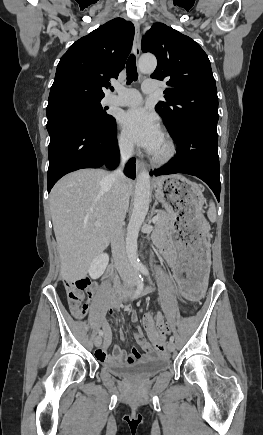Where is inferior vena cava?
<instances>
[{"mask_svg":"<svg viewBox=\"0 0 263 435\" xmlns=\"http://www.w3.org/2000/svg\"><path fill=\"white\" fill-rule=\"evenodd\" d=\"M133 149V144H128L121 150L119 168L107 177V179L112 183L113 206L110 225L111 249L115 266L121 276L131 275L133 273L132 267L127 259L122 229L123 220L129 206L130 196L126 186V177L122 170L126 161L131 157Z\"/></svg>","mask_w":263,"mask_h":435,"instance_id":"obj_1","label":"inferior vena cava"}]
</instances>
